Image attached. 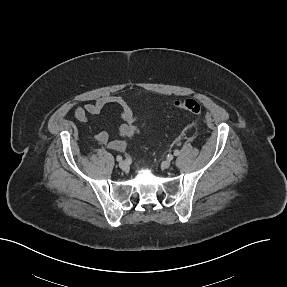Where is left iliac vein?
Returning a JSON list of instances; mask_svg holds the SVG:
<instances>
[{
  "mask_svg": "<svg viewBox=\"0 0 287 287\" xmlns=\"http://www.w3.org/2000/svg\"><path fill=\"white\" fill-rule=\"evenodd\" d=\"M170 165H171V160L170 159H167V160L163 161L162 164H161L163 169L169 168Z\"/></svg>",
  "mask_w": 287,
  "mask_h": 287,
  "instance_id": "left-iliac-vein-1",
  "label": "left iliac vein"
}]
</instances>
